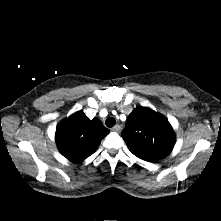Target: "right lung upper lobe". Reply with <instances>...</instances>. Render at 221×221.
I'll return each instance as SVG.
<instances>
[{
	"instance_id": "obj_1",
	"label": "right lung upper lobe",
	"mask_w": 221,
	"mask_h": 221,
	"mask_svg": "<svg viewBox=\"0 0 221 221\" xmlns=\"http://www.w3.org/2000/svg\"><path fill=\"white\" fill-rule=\"evenodd\" d=\"M109 132L98 118L90 120L83 111H78L58 124L56 144L67 159L80 162L95 152Z\"/></svg>"
}]
</instances>
